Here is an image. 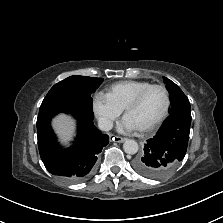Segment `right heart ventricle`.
Segmentation results:
<instances>
[{"label": "right heart ventricle", "instance_id": "e07e8e85", "mask_svg": "<svg viewBox=\"0 0 223 223\" xmlns=\"http://www.w3.org/2000/svg\"><path fill=\"white\" fill-rule=\"evenodd\" d=\"M151 83L142 80H124L112 84L106 92L111 101L121 110L144 88Z\"/></svg>", "mask_w": 223, "mask_h": 223}]
</instances>
